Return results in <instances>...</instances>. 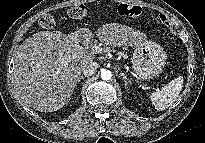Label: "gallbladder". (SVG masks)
<instances>
[{
    "mask_svg": "<svg viewBox=\"0 0 205 143\" xmlns=\"http://www.w3.org/2000/svg\"><path fill=\"white\" fill-rule=\"evenodd\" d=\"M88 34H89V32H82V34H81V39H83V38H85V37H88Z\"/></svg>",
    "mask_w": 205,
    "mask_h": 143,
    "instance_id": "gallbladder-1",
    "label": "gallbladder"
}]
</instances>
